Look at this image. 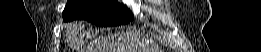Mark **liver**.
Instances as JSON below:
<instances>
[{
  "label": "liver",
  "mask_w": 261,
  "mask_h": 52,
  "mask_svg": "<svg viewBox=\"0 0 261 52\" xmlns=\"http://www.w3.org/2000/svg\"><path fill=\"white\" fill-rule=\"evenodd\" d=\"M68 33L69 37L71 38V41L74 42V46L78 47L81 50V52H85V50L86 52H98V50H104L102 49V47H105V45L110 41L109 37H101L98 38L94 43H92L90 47L88 46L87 48H85V27L84 24L77 22L70 25Z\"/></svg>",
  "instance_id": "1"
}]
</instances>
